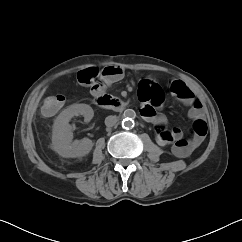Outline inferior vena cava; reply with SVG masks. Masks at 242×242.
Returning a JSON list of instances; mask_svg holds the SVG:
<instances>
[{"label":"inferior vena cava","mask_w":242,"mask_h":242,"mask_svg":"<svg viewBox=\"0 0 242 242\" xmlns=\"http://www.w3.org/2000/svg\"><path fill=\"white\" fill-rule=\"evenodd\" d=\"M117 121H118V117L117 116L110 115V116H107L105 118V125L107 127H112V126H114L117 123Z\"/></svg>","instance_id":"inferior-vena-cava-1"}]
</instances>
